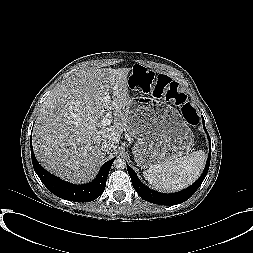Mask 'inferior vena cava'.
<instances>
[{
  "instance_id": "inferior-vena-cava-1",
  "label": "inferior vena cava",
  "mask_w": 253,
  "mask_h": 253,
  "mask_svg": "<svg viewBox=\"0 0 253 253\" xmlns=\"http://www.w3.org/2000/svg\"><path fill=\"white\" fill-rule=\"evenodd\" d=\"M110 148V145L108 143H104L102 146L103 151H107Z\"/></svg>"
}]
</instances>
